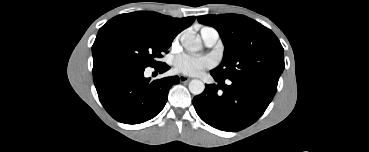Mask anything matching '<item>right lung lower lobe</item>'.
I'll list each match as a JSON object with an SVG mask.
<instances>
[{"mask_svg":"<svg viewBox=\"0 0 369 152\" xmlns=\"http://www.w3.org/2000/svg\"><path fill=\"white\" fill-rule=\"evenodd\" d=\"M170 67H154L163 73ZM144 67L115 65L93 74L99 99L117 121L139 124L155 117L164 108L170 88L180 82L178 76L151 81L144 77Z\"/></svg>","mask_w":369,"mask_h":152,"instance_id":"obj_1","label":"right lung lower lobe"}]
</instances>
